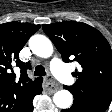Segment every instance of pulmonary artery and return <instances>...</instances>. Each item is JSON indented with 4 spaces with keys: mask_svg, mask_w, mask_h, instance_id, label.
Segmentation results:
<instances>
[{
    "mask_svg": "<svg viewBox=\"0 0 112 112\" xmlns=\"http://www.w3.org/2000/svg\"><path fill=\"white\" fill-rule=\"evenodd\" d=\"M51 70L54 75L63 83L71 82V75L67 70L66 66L58 59H53L51 61Z\"/></svg>",
    "mask_w": 112,
    "mask_h": 112,
    "instance_id": "pulmonary-artery-1",
    "label": "pulmonary artery"
}]
</instances>
